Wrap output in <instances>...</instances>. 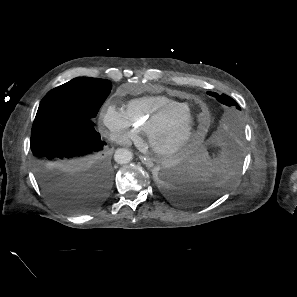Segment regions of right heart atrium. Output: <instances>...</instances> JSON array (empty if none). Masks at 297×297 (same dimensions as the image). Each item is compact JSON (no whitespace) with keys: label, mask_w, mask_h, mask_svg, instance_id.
Segmentation results:
<instances>
[{"label":"right heart atrium","mask_w":297,"mask_h":297,"mask_svg":"<svg viewBox=\"0 0 297 297\" xmlns=\"http://www.w3.org/2000/svg\"><path fill=\"white\" fill-rule=\"evenodd\" d=\"M101 125L106 130L109 139L119 144L126 145L140 138V131L127 112L113 104H107L104 107Z\"/></svg>","instance_id":"obj_1"}]
</instances>
